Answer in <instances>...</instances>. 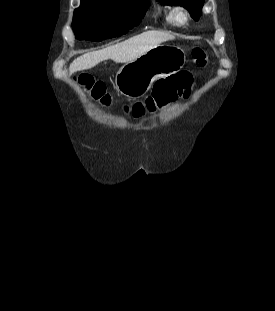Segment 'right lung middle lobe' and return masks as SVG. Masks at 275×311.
I'll return each mask as SVG.
<instances>
[{"instance_id": "obj_1", "label": "right lung middle lobe", "mask_w": 275, "mask_h": 311, "mask_svg": "<svg viewBox=\"0 0 275 311\" xmlns=\"http://www.w3.org/2000/svg\"><path fill=\"white\" fill-rule=\"evenodd\" d=\"M147 0L90 1L74 11L72 27L79 40L101 41L121 36L144 17Z\"/></svg>"}]
</instances>
